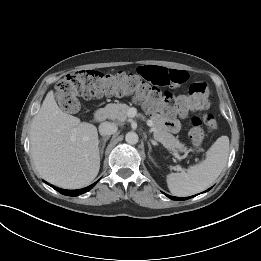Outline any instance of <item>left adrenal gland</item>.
Segmentation results:
<instances>
[{"instance_id":"1","label":"left adrenal gland","mask_w":261,"mask_h":261,"mask_svg":"<svg viewBox=\"0 0 261 261\" xmlns=\"http://www.w3.org/2000/svg\"><path fill=\"white\" fill-rule=\"evenodd\" d=\"M148 147H149V151H148V158L155 164L153 157L151 156V151H152V147L151 144L148 142Z\"/></svg>"}]
</instances>
